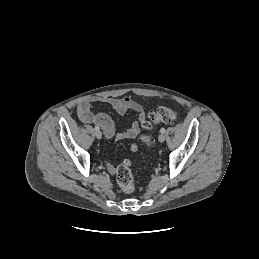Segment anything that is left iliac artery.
<instances>
[{
	"instance_id": "1",
	"label": "left iliac artery",
	"mask_w": 259,
	"mask_h": 259,
	"mask_svg": "<svg viewBox=\"0 0 259 259\" xmlns=\"http://www.w3.org/2000/svg\"><path fill=\"white\" fill-rule=\"evenodd\" d=\"M160 132H161V133H164V132H165V128H161V129H160Z\"/></svg>"
}]
</instances>
